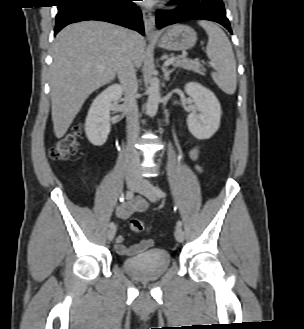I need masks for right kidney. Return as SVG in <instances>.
<instances>
[{
	"mask_svg": "<svg viewBox=\"0 0 304 329\" xmlns=\"http://www.w3.org/2000/svg\"><path fill=\"white\" fill-rule=\"evenodd\" d=\"M122 87L114 84L106 88L92 102L85 122L88 140L95 146L103 145L110 132V104L121 98Z\"/></svg>",
	"mask_w": 304,
	"mask_h": 329,
	"instance_id": "1",
	"label": "right kidney"
}]
</instances>
